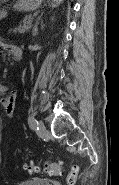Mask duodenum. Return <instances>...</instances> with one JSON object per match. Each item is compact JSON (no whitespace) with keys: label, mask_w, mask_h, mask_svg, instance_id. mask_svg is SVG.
Segmentation results:
<instances>
[{"label":"duodenum","mask_w":119,"mask_h":185,"mask_svg":"<svg viewBox=\"0 0 119 185\" xmlns=\"http://www.w3.org/2000/svg\"><path fill=\"white\" fill-rule=\"evenodd\" d=\"M13 55H14L16 60H20L21 57H22V50L18 47L14 48Z\"/></svg>","instance_id":"duodenum-1"}]
</instances>
